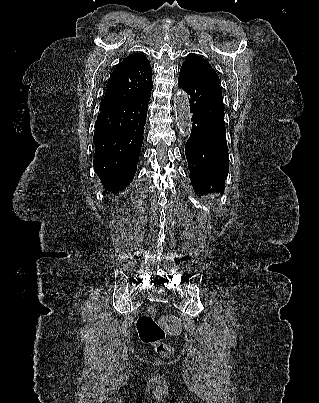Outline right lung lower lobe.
I'll return each mask as SVG.
<instances>
[{"label": "right lung lower lobe", "mask_w": 319, "mask_h": 403, "mask_svg": "<svg viewBox=\"0 0 319 403\" xmlns=\"http://www.w3.org/2000/svg\"><path fill=\"white\" fill-rule=\"evenodd\" d=\"M150 95L101 110L95 123L93 166L105 192L118 193L134 178L143 143Z\"/></svg>", "instance_id": "right-lung-lower-lobe-1"}]
</instances>
